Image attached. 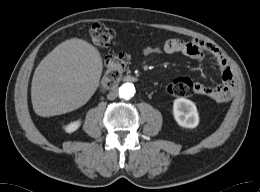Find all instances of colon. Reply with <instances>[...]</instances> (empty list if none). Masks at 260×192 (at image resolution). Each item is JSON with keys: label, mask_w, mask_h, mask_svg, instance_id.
Here are the masks:
<instances>
[{"label": "colon", "mask_w": 260, "mask_h": 192, "mask_svg": "<svg viewBox=\"0 0 260 192\" xmlns=\"http://www.w3.org/2000/svg\"><path fill=\"white\" fill-rule=\"evenodd\" d=\"M90 37L96 47L105 48L113 40L114 32L104 24L94 23L90 28ZM128 60V56L122 53L106 60V72L101 82L103 91L113 88L119 82ZM168 91L178 97L189 96L194 93V83L189 78H178L170 83Z\"/></svg>", "instance_id": "1"}]
</instances>
